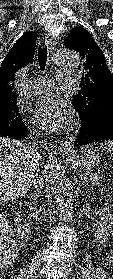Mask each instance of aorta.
Returning <instances> with one entry per match:
<instances>
[{
	"label": "aorta",
	"mask_w": 113,
	"mask_h": 279,
	"mask_svg": "<svg viewBox=\"0 0 113 279\" xmlns=\"http://www.w3.org/2000/svg\"><path fill=\"white\" fill-rule=\"evenodd\" d=\"M56 58L60 64L70 69H76L81 62L79 54L69 48L57 50ZM64 143L65 142L62 141V145H64ZM47 170L52 194L56 199L58 213L64 221L69 222L73 218L74 209L72 194L68 179L61 170L57 159L52 154L49 155Z\"/></svg>",
	"instance_id": "762f6f07"
}]
</instances>
